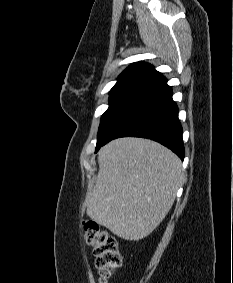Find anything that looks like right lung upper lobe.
Wrapping results in <instances>:
<instances>
[{
    "mask_svg": "<svg viewBox=\"0 0 233 283\" xmlns=\"http://www.w3.org/2000/svg\"><path fill=\"white\" fill-rule=\"evenodd\" d=\"M162 77V74L155 70V68L148 63L138 62L130 65L118 77L116 85H120L132 81H148Z\"/></svg>",
    "mask_w": 233,
    "mask_h": 283,
    "instance_id": "obj_1",
    "label": "right lung upper lobe"
}]
</instances>
